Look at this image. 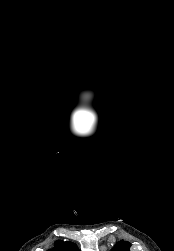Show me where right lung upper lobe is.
Wrapping results in <instances>:
<instances>
[{
	"label": "right lung upper lobe",
	"instance_id": "obj_1",
	"mask_svg": "<svg viewBox=\"0 0 174 251\" xmlns=\"http://www.w3.org/2000/svg\"><path fill=\"white\" fill-rule=\"evenodd\" d=\"M48 251H78V248L72 242H64L59 240L55 243V248Z\"/></svg>",
	"mask_w": 174,
	"mask_h": 251
}]
</instances>
